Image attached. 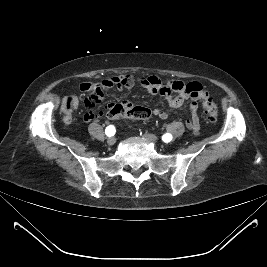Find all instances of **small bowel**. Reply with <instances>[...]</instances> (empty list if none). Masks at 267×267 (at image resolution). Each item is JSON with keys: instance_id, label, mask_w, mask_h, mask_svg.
Listing matches in <instances>:
<instances>
[{"instance_id": "obj_1", "label": "small bowel", "mask_w": 267, "mask_h": 267, "mask_svg": "<svg viewBox=\"0 0 267 267\" xmlns=\"http://www.w3.org/2000/svg\"><path fill=\"white\" fill-rule=\"evenodd\" d=\"M134 85H139L152 94H160L164 96L169 106L173 109H182L186 100H191L189 106L190 117L186 121V125L190 131L197 134L200 129L199 123V107L198 102L209 99L208 93L203 89L201 83L197 81L182 82L178 80L162 79L157 76H139L121 75L99 82H85L81 85V90L88 93L84 100L86 112L84 119L87 122L96 120L103 112L96 113L94 108L104 99L103 91L108 88L116 87L117 89L131 88ZM80 101L76 95L66 96L61 105V112L63 114L64 122L69 124L72 122L74 113L79 108ZM128 108L132 104L128 100H122L119 103H110L107 106V111L115 107ZM153 115L160 119H166L168 113L159 108L152 110Z\"/></svg>"}]
</instances>
